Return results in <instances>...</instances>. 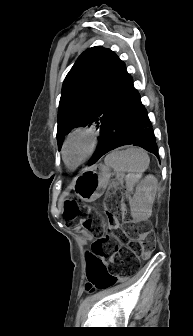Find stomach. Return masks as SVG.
Masks as SVG:
<instances>
[{
	"instance_id": "obj_1",
	"label": "stomach",
	"mask_w": 193,
	"mask_h": 336,
	"mask_svg": "<svg viewBox=\"0 0 193 336\" xmlns=\"http://www.w3.org/2000/svg\"><path fill=\"white\" fill-rule=\"evenodd\" d=\"M110 173L107 166H93L84 169L74 181V191L85 201L92 202L99 198L109 184Z\"/></svg>"
}]
</instances>
